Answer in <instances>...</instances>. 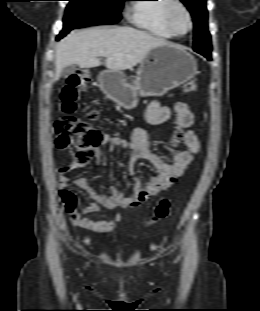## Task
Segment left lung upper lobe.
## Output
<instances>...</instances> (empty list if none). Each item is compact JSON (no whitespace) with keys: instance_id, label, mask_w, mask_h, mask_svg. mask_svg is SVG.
Returning <instances> with one entry per match:
<instances>
[{"instance_id":"5c2ea615","label":"left lung upper lobe","mask_w":260,"mask_h":311,"mask_svg":"<svg viewBox=\"0 0 260 311\" xmlns=\"http://www.w3.org/2000/svg\"><path fill=\"white\" fill-rule=\"evenodd\" d=\"M189 9L194 22V46L195 51H210L211 38L208 32V12L206 10V0H181Z\"/></svg>"}]
</instances>
